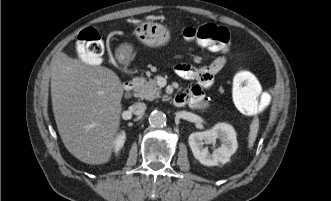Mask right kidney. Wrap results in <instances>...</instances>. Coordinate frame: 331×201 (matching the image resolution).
Listing matches in <instances>:
<instances>
[{
	"label": "right kidney",
	"mask_w": 331,
	"mask_h": 201,
	"mask_svg": "<svg viewBox=\"0 0 331 201\" xmlns=\"http://www.w3.org/2000/svg\"><path fill=\"white\" fill-rule=\"evenodd\" d=\"M124 142H125V133L122 132L120 135L117 136V139L115 141L114 149L116 152H118L122 148Z\"/></svg>",
	"instance_id": "ca27d5eb"
}]
</instances>
